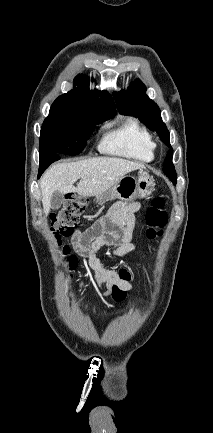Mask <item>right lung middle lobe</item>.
Here are the masks:
<instances>
[{
  "instance_id": "1",
  "label": "right lung middle lobe",
  "mask_w": 213,
  "mask_h": 433,
  "mask_svg": "<svg viewBox=\"0 0 213 433\" xmlns=\"http://www.w3.org/2000/svg\"><path fill=\"white\" fill-rule=\"evenodd\" d=\"M104 121L73 110L51 107L41 128L40 158L51 154H80L95 125Z\"/></svg>"
}]
</instances>
